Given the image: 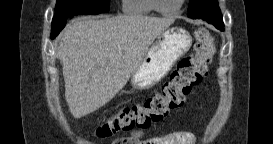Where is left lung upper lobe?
<instances>
[{
	"label": "left lung upper lobe",
	"mask_w": 273,
	"mask_h": 144,
	"mask_svg": "<svg viewBox=\"0 0 273 144\" xmlns=\"http://www.w3.org/2000/svg\"><path fill=\"white\" fill-rule=\"evenodd\" d=\"M212 8L219 9L217 0H190L188 5V17L194 19Z\"/></svg>",
	"instance_id": "5c2ea615"
}]
</instances>
